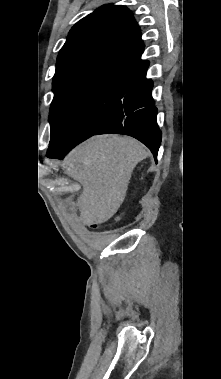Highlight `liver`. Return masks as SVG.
<instances>
[{
	"instance_id": "6515ba94",
	"label": "liver",
	"mask_w": 221,
	"mask_h": 379,
	"mask_svg": "<svg viewBox=\"0 0 221 379\" xmlns=\"http://www.w3.org/2000/svg\"><path fill=\"white\" fill-rule=\"evenodd\" d=\"M147 156L140 142L118 135L94 136L66 156L65 173L83 188L78 208L85 224H101L117 212L134 168Z\"/></svg>"
}]
</instances>
